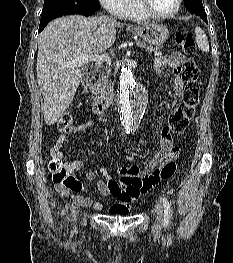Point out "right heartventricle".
<instances>
[{
  "instance_id": "e07e8e85",
  "label": "right heart ventricle",
  "mask_w": 233,
  "mask_h": 263,
  "mask_svg": "<svg viewBox=\"0 0 233 263\" xmlns=\"http://www.w3.org/2000/svg\"><path fill=\"white\" fill-rule=\"evenodd\" d=\"M117 15L122 18L134 20H144L149 18V16L139 7L137 0H124Z\"/></svg>"
}]
</instances>
